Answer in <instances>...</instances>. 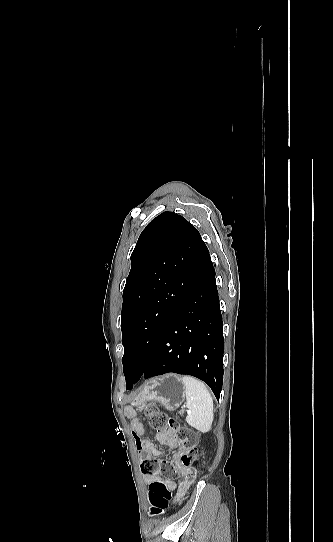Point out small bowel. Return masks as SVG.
Wrapping results in <instances>:
<instances>
[{
    "mask_svg": "<svg viewBox=\"0 0 333 542\" xmlns=\"http://www.w3.org/2000/svg\"><path fill=\"white\" fill-rule=\"evenodd\" d=\"M131 428L138 449L144 452L141 455V460L144 463H149L152 460V457H159L163 454L160 449L156 448L151 443V441L145 437L144 426L139 418H134L132 420ZM155 438L160 444L168 446L169 448L176 451L173 455V464L175 466V469L181 476L191 478L193 480L196 476L195 472L193 470L187 469V467L182 464V457L185 455V453L180 449L179 444L173 439L163 434L156 433ZM145 482L148 484L161 483L170 488L171 490L175 489L176 487L175 483L172 480L162 478L159 475L147 476L145 477Z\"/></svg>",
    "mask_w": 333,
    "mask_h": 542,
    "instance_id": "small-bowel-1",
    "label": "small bowel"
}]
</instances>
